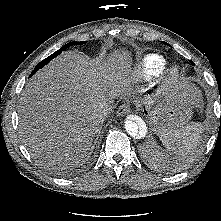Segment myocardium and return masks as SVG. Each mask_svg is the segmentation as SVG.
I'll use <instances>...</instances> for the list:
<instances>
[{"label": "myocardium", "instance_id": "f54148a6", "mask_svg": "<svg viewBox=\"0 0 221 221\" xmlns=\"http://www.w3.org/2000/svg\"><path fill=\"white\" fill-rule=\"evenodd\" d=\"M183 76L180 65L173 64L166 69L159 84L157 95L160 98L167 97L179 85Z\"/></svg>", "mask_w": 221, "mask_h": 221}]
</instances>
